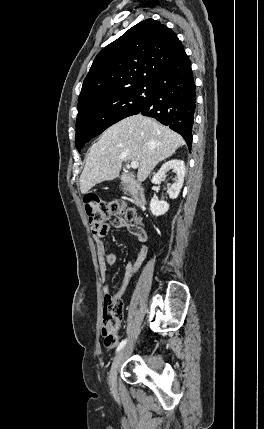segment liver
I'll use <instances>...</instances> for the list:
<instances>
[{
    "instance_id": "obj_1",
    "label": "liver",
    "mask_w": 264,
    "mask_h": 429,
    "mask_svg": "<svg viewBox=\"0 0 264 429\" xmlns=\"http://www.w3.org/2000/svg\"><path fill=\"white\" fill-rule=\"evenodd\" d=\"M184 144L178 133L152 118L127 117L109 127L91 147L80 176L81 193L117 178L123 161H138L137 178L143 182L159 162Z\"/></svg>"
}]
</instances>
